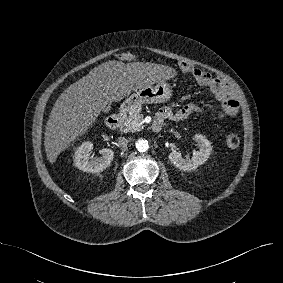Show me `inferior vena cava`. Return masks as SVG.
<instances>
[{"label": "inferior vena cava", "mask_w": 283, "mask_h": 283, "mask_svg": "<svg viewBox=\"0 0 283 283\" xmlns=\"http://www.w3.org/2000/svg\"><path fill=\"white\" fill-rule=\"evenodd\" d=\"M128 143H129V140L126 139L125 137H119L118 138V145H119L121 150L126 151Z\"/></svg>", "instance_id": "1"}]
</instances>
